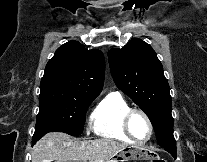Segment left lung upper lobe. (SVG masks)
Instances as JSON below:
<instances>
[{"label": "left lung upper lobe", "mask_w": 207, "mask_h": 162, "mask_svg": "<svg viewBox=\"0 0 207 162\" xmlns=\"http://www.w3.org/2000/svg\"><path fill=\"white\" fill-rule=\"evenodd\" d=\"M112 77L150 118L162 147L175 143L168 82L155 51L141 39L108 52Z\"/></svg>", "instance_id": "5c2ea615"}]
</instances>
